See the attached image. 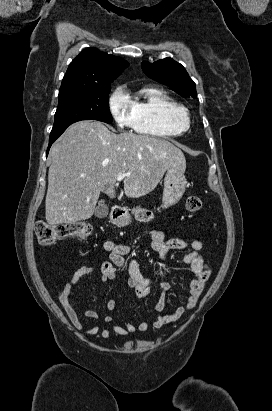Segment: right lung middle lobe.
I'll return each mask as SVG.
<instances>
[{
    "instance_id": "right-lung-middle-lobe-1",
    "label": "right lung middle lobe",
    "mask_w": 272,
    "mask_h": 411,
    "mask_svg": "<svg viewBox=\"0 0 272 411\" xmlns=\"http://www.w3.org/2000/svg\"><path fill=\"white\" fill-rule=\"evenodd\" d=\"M109 84L85 90L59 92L58 107L50 139L59 137L65 129L81 120H98L112 123L109 110Z\"/></svg>"
}]
</instances>
